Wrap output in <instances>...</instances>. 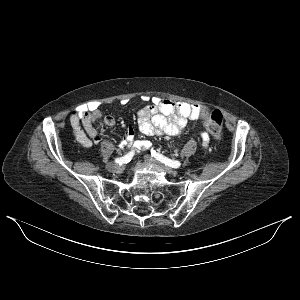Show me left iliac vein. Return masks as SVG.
Wrapping results in <instances>:
<instances>
[{
	"mask_svg": "<svg viewBox=\"0 0 300 300\" xmlns=\"http://www.w3.org/2000/svg\"><path fill=\"white\" fill-rule=\"evenodd\" d=\"M145 160L148 162V163H151V164H154V165H157L159 166L164 172H166L168 175H172V176H175L177 175V171L162 164L161 162L157 161L155 158L151 157L150 155H145Z\"/></svg>",
	"mask_w": 300,
	"mask_h": 300,
	"instance_id": "4c4485c4",
	"label": "left iliac vein"
}]
</instances>
